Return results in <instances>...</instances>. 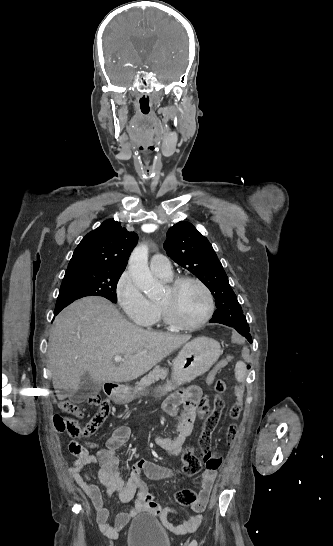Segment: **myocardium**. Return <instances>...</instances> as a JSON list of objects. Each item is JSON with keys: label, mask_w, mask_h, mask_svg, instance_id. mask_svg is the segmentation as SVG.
I'll return each mask as SVG.
<instances>
[{"label": "myocardium", "mask_w": 333, "mask_h": 546, "mask_svg": "<svg viewBox=\"0 0 333 546\" xmlns=\"http://www.w3.org/2000/svg\"><path fill=\"white\" fill-rule=\"evenodd\" d=\"M185 283H194L198 285L203 292L206 295L207 299V307L203 314V316L194 323H184L177 319L173 313L171 312L170 308L163 303H158V307L161 311L163 320L172 328L177 330H183V331H193L201 328L204 326L212 317L215 309V300L214 295L208 285L202 281L201 279L194 277V276H179L175 279L171 280L168 285V290L170 292H175L181 285Z\"/></svg>", "instance_id": "obj_1"}]
</instances>
